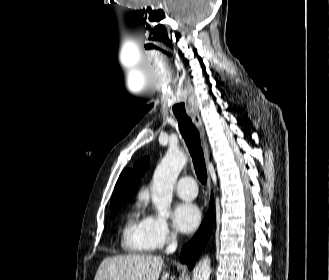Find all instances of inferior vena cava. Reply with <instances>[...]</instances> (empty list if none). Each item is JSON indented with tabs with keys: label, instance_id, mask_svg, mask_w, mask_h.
I'll return each mask as SVG.
<instances>
[{
	"label": "inferior vena cava",
	"instance_id": "602c4592",
	"mask_svg": "<svg viewBox=\"0 0 329 280\" xmlns=\"http://www.w3.org/2000/svg\"><path fill=\"white\" fill-rule=\"evenodd\" d=\"M176 248H177L176 235L172 234L171 235V242L168 244L165 252H166V254H171L176 250Z\"/></svg>",
	"mask_w": 329,
	"mask_h": 280
}]
</instances>
